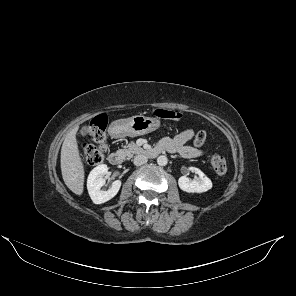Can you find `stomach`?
Segmentation results:
<instances>
[{
  "instance_id": "0dacf381",
  "label": "stomach",
  "mask_w": 296,
  "mask_h": 296,
  "mask_svg": "<svg viewBox=\"0 0 296 296\" xmlns=\"http://www.w3.org/2000/svg\"><path fill=\"white\" fill-rule=\"evenodd\" d=\"M112 127L120 137H134L155 131L160 127V120L154 117L136 115L127 119L116 120Z\"/></svg>"
}]
</instances>
